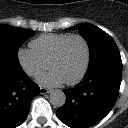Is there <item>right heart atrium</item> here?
Masks as SVG:
<instances>
[{"mask_svg": "<svg viewBox=\"0 0 128 128\" xmlns=\"http://www.w3.org/2000/svg\"><path fill=\"white\" fill-rule=\"evenodd\" d=\"M17 59L21 68L30 77L39 76L47 68V63L32 48H20Z\"/></svg>", "mask_w": 128, "mask_h": 128, "instance_id": "obj_1", "label": "right heart atrium"}]
</instances>
